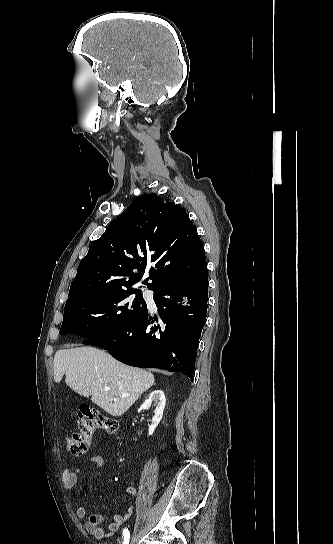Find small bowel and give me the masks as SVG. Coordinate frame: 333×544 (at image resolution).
<instances>
[{"label":"small bowel","mask_w":333,"mask_h":544,"mask_svg":"<svg viewBox=\"0 0 333 544\" xmlns=\"http://www.w3.org/2000/svg\"><path fill=\"white\" fill-rule=\"evenodd\" d=\"M103 464V457L99 454H94L91 455L86 462L82 463L75 469L65 467L62 473L63 488L66 491L73 490L77 484L79 476L81 475L83 469L86 466L100 468L103 466ZM126 493L130 496H135L137 490L134 486H128L126 488ZM133 509V505L127 506L122 514H115L112 518V521L107 525H103L104 517L102 514L94 513L88 515L87 509L83 506H80L76 509V516L80 519L86 518L85 527L87 531L95 538L103 539L105 537L111 536L113 533L118 531L124 524V522L131 517Z\"/></svg>","instance_id":"small-bowel-1"}]
</instances>
